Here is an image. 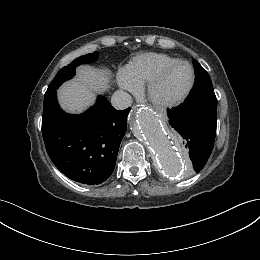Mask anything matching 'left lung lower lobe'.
Here are the masks:
<instances>
[{
  "label": "left lung lower lobe",
  "instance_id": "0a47b994",
  "mask_svg": "<svg viewBox=\"0 0 260 260\" xmlns=\"http://www.w3.org/2000/svg\"><path fill=\"white\" fill-rule=\"evenodd\" d=\"M168 122L175 136L183 142L198 173L213 150L217 124V99L201 98L168 109Z\"/></svg>",
  "mask_w": 260,
  "mask_h": 260
}]
</instances>
